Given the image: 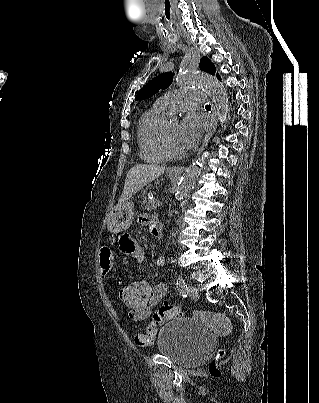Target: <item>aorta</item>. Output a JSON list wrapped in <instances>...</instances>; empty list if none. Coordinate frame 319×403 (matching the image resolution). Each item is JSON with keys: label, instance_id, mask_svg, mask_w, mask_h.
<instances>
[{"label": "aorta", "instance_id": "762f6f07", "mask_svg": "<svg viewBox=\"0 0 319 403\" xmlns=\"http://www.w3.org/2000/svg\"><path fill=\"white\" fill-rule=\"evenodd\" d=\"M176 82L183 87L194 86L204 88L214 102L218 120L222 124L225 123L228 114V96L226 89L216 77L207 74H183L176 78ZM206 157H208V152L193 162L184 172L175 194L177 201H181L187 197L194 187L205 164Z\"/></svg>", "mask_w": 319, "mask_h": 403}]
</instances>
